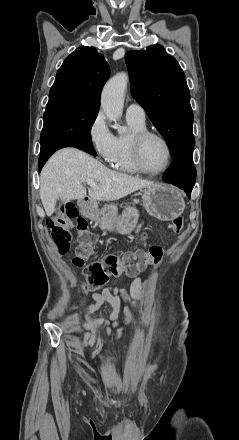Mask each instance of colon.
I'll list each match as a JSON object with an SVG mask.
<instances>
[{
	"mask_svg": "<svg viewBox=\"0 0 239 440\" xmlns=\"http://www.w3.org/2000/svg\"><path fill=\"white\" fill-rule=\"evenodd\" d=\"M73 219L76 220L78 230V245L72 262L74 266L82 267L93 252L95 235L88 229L86 220L79 216L74 203H65L61 214L48 219L46 225L58 252L64 254L68 251L72 240L69 222ZM183 224V219L178 217L172 221L171 228L178 233L182 230ZM162 256L163 249L159 246H152L147 251L131 252L122 260L114 256L106 257L88 266L85 285L86 287H100L107 283L109 279L123 273L134 275L148 265L159 263Z\"/></svg>",
	"mask_w": 239,
	"mask_h": 440,
	"instance_id": "5ec220e1",
	"label": "colon"
}]
</instances>
